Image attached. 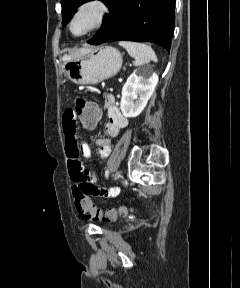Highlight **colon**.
Segmentation results:
<instances>
[{"instance_id": "obj_1", "label": "colon", "mask_w": 240, "mask_h": 288, "mask_svg": "<svg viewBox=\"0 0 240 288\" xmlns=\"http://www.w3.org/2000/svg\"><path fill=\"white\" fill-rule=\"evenodd\" d=\"M75 113L86 128L96 126L101 117L100 106L97 102L85 98H78L75 102ZM73 196L78 213L88 220L115 221L119 216H127L129 209L125 206L103 211L90 199L88 194L74 187Z\"/></svg>"}]
</instances>
